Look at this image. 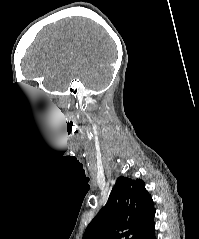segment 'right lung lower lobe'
Wrapping results in <instances>:
<instances>
[{
    "instance_id": "right-lung-lower-lobe-1",
    "label": "right lung lower lobe",
    "mask_w": 199,
    "mask_h": 239,
    "mask_svg": "<svg viewBox=\"0 0 199 239\" xmlns=\"http://www.w3.org/2000/svg\"><path fill=\"white\" fill-rule=\"evenodd\" d=\"M134 239H156L154 218L150 220Z\"/></svg>"
}]
</instances>
